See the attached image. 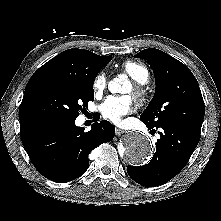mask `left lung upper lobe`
Listing matches in <instances>:
<instances>
[{
    "mask_svg": "<svg viewBox=\"0 0 221 221\" xmlns=\"http://www.w3.org/2000/svg\"><path fill=\"white\" fill-rule=\"evenodd\" d=\"M135 57L147 60L156 79L153 99L140 116L148 129L179 124L200 133L204 101L198 82L188 67L154 48L142 50Z\"/></svg>",
    "mask_w": 221,
    "mask_h": 221,
    "instance_id": "1",
    "label": "left lung upper lobe"
}]
</instances>
